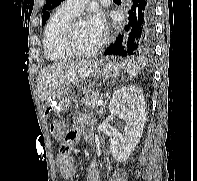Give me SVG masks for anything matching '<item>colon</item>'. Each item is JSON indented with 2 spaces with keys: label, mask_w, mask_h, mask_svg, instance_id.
I'll use <instances>...</instances> for the list:
<instances>
[{
  "label": "colon",
  "mask_w": 197,
  "mask_h": 181,
  "mask_svg": "<svg viewBox=\"0 0 197 181\" xmlns=\"http://www.w3.org/2000/svg\"><path fill=\"white\" fill-rule=\"evenodd\" d=\"M63 131V124L60 121H53L50 124V132L55 136H59ZM62 151L67 150V145L65 143L61 144Z\"/></svg>",
  "instance_id": "1"
}]
</instances>
